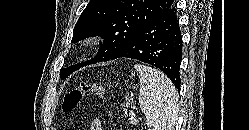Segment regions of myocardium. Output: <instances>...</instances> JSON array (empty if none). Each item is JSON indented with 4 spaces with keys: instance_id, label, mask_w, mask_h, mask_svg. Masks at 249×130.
I'll return each instance as SVG.
<instances>
[{
    "instance_id": "1",
    "label": "myocardium",
    "mask_w": 249,
    "mask_h": 130,
    "mask_svg": "<svg viewBox=\"0 0 249 130\" xmlns=\"http://www.w3.org/2000/svg\"><path fill=\"white\" fill-rule=\"evenodd\" d=\"M97 41V38L95 36H91L88 39L85 40V42L83 43L84 46H89L92 44H95Z\"/></svg>"
}]
</instances>
